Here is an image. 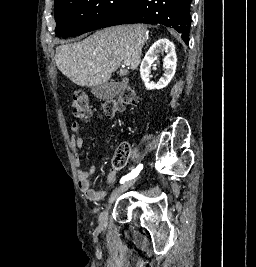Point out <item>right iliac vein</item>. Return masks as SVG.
<instances>
[{"label": "right iliac vein", "mask_w": 256, "mask_h": 267, "mask_svg": "<svg viewBox=\"0 0 256 267\" xmlns=\"http://www.w3.org/2000/svg\"><path fill=\"white\" fill-rule=\"evenodd\" d=\"M136 180H130L128 182L123 183L121 186H119L117 189L113 191L109 198V204H112L123 192L127 191ZM108 219V208H105L101 211L99 215V223L100 225H103L107 222Z\"/></svg>", "instance_id": "obj_1"}]
</instances>
